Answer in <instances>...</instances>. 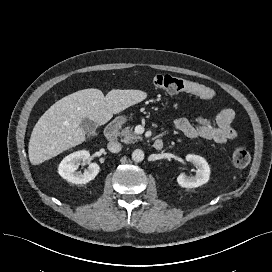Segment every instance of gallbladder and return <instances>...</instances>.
Masks as SVG:
<instances>
[{"label": "gallbladder", "instance_id": "obj_1", "mask_svg": "<svg viewBox=\"0 0 272 272\" xmlns=\"http://www.w3.org/2000/svg\"><path fill=\"white\" fill-rule=\"evenodd\" d=\"M81 127L88 135H96L98 125L95 121H92L89 118H84L81 123Z\"/></svg>", "mask_w": 272, "mask_h": 272}]
</instances>
